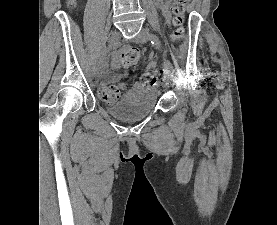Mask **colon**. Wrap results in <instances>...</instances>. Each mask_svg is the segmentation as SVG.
Masks as SVG:
<instances>
[{
	"label": "colon",
	"instance_id": "obj_1",
	"mask_svg": "<svg viewBox=\"0 0 277 225\" xmlns=\"http://www.w3.org/2000/svg\"><path fill=\"white\" fill-rule=\"evenodd\" d=\"M70 6L76 3V0H67ZM189 0H174L171 11L174 14L173 25L175 27L173 36L176 40L183 38L185 30L184 24V11ZM140 51L138 49H130L122 52L117 60L116 64L120 66H131L136 64L140 60ZM162 80L160 72L144 73L142 76V85L145 88H152L157 86ZM122 86L117 84L103 85L98 90L99 98L104 102L115 101L121 92Z\"/></svg>",
	"mask_w": 277,
	"mask_h": 225
}]
</instances>
